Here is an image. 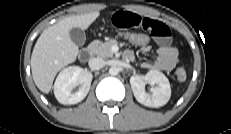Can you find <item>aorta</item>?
Segmentation results:
<instances>
[{
	"instance_id": "obj_1",
	"label": "aorta",
	"mask_w": 231,
	"mask_h": 134,
	"mask_svg": "<svg viewBox=\"0 0 231 134\" xmlns=\"http://www.w3.org/2000/svg\"><path fill=\"white\" fill-rule=\"evenodd\" d=\"M118 73H119V69L115 66H113L109 69V74L112 76H116Z\"/></svg>"
}]
</instances>
